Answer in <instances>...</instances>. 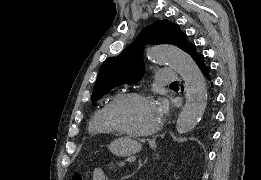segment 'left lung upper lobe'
<instances>
[{
  "instance_id": "left-lung-upper-lobe-1",
  "label": "left lung upper lobe",
  "mask_w": 261,
  "mask_h": 180,
  "mask_svg": "<svg viewBox=\"0 0 261 180\" xmlns=\"http://www.w3.org/2000/svg\"><path fill=\"white\" fill-rule=\"evenodd\" d=\"M147 42L155 45L170 43L187 52L193 46L179 27L168 20L156 21L146 27L136 41L129 45L118 57H109L102 64L94 85L91 101L96 102L112 88L122 84L138 82L145 72L142 47Z\"/></svg>"
}]
</instances>
